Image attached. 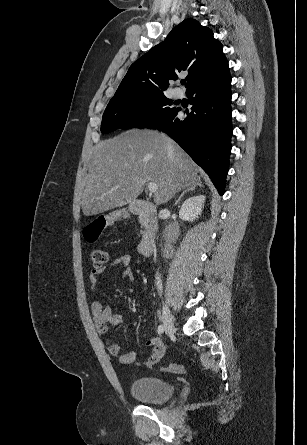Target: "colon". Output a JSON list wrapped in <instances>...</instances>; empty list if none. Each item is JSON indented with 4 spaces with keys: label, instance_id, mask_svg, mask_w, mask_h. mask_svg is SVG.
Segmentation results:
<instances>
[{
    "label": "colon",
    "instance_id": "1",
    "mask_svg": "<svg viewBox=\"0 0 307 445\" xmlns=\"http://www.w3.org/2000/svg\"><path fill=\"white\" fill-rule=\"evenodd\" d=\"M125 217L126 215L124 213L115 212L96 218L84 229V237L86 241L90 243L95 242L101 236L107 226ZM90 258L95 268H102L108 260L106 251L101 248H93L90 252ZM162 370L168 373L183 374L185 372V367L182 364L171 363L164 366Z\"/></svg>",
    "mask_w": 307,
    "mask_h": 445
}]
</instances>
